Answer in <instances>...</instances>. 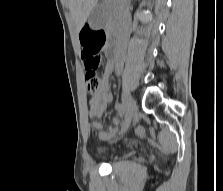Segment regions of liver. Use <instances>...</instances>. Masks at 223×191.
I'll use <instances>...</instances> for the list:
<instances>
[{"mask_svg":"<svg viewBox=\"0 0 223 191\" xmlns=\"http://www.w3.org/2000/svg\"><path fill=\"white\" fill-rule=\"evenodd\" d=\"M97 3L98 0H68L69 10L78 31L83 27Z\"/></svg>","mask_w":223,"mask_h":191,"instance_id":"6515ba94","label":"liver"}]
</instances>
